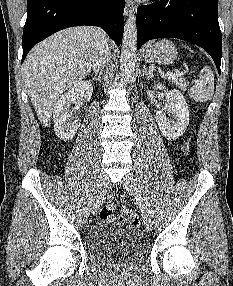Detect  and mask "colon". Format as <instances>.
Returning a JSON list of instances; mask_svg holds the SVG:
<instances>
[{
	"label": "colon",
	"instance_id": "colon-1",
	"mask_svg": "<svg viewBox=\"0 0 233 286\" xmlns=\"http://www.w3.org/2000/svg\"><path fill=\"white\" fill-rule=\"evenodd\" d=\"M100 218H112L115 215V206L112 202H106L100 209ZM118 217L121 221L128 222L133 226L140 225L139 217L129 209H123Z\"/></svg>",
	"mask_w": 233,
	"mask_h": 286
}]
</instances>
